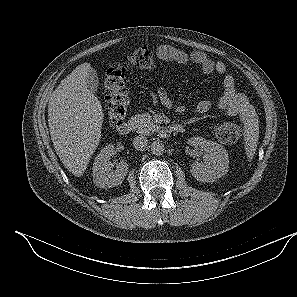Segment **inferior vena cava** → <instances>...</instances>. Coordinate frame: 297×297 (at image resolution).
I'll list each match as a JSON object with an SVG mask.
<instances>
[{
    "label": "inferior vena cava",
    "instance_id": "inferior-vena-cava-1",
    "mask_svg": "<svg viewBox=\"0 0 297 297\" xmlns=\"http://www.w3.org/2000/svg\"><path fill=\"white\" fill-rule=\"evenodd\" d=\"M147 144H148V140L143 135L136 136L133 139L134 148L138 151L144 150L146 148Z\"/></svg>",
    "mask_w": 297,
    "mask_h": 297
}]
</instances>
